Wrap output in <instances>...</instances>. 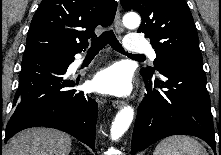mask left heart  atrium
<instances>
[{
	"label": "left heart atrium",
	"mask_w": 221,
	"mask_h": 155,
	"mask_svg": "<svg viewBox=\"0 0 221 155\" xmlns=\"http://www.w3.org/2000/svg\"><path fill=\"white\" fill-rule=\"evenodd\" d=\"M92 85L97 92L123 96L131 91V74L122 64H114L99 71Z\"/></svg>",
	"instance_id": "left-heart-atrium-1"
}]
</instances>
